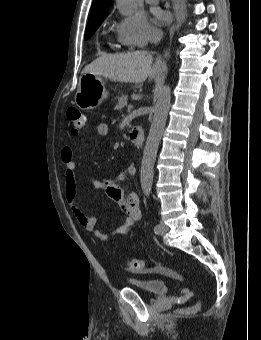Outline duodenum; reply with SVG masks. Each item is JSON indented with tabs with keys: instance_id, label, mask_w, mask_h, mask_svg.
<instances>
[{
	"instance_id": "410a0bca",
	"label": "duodenum",
	"mask_w": 261,
	"mask_h": 340,
	"mask_svg": "<svg viewBox=\"0 0 261 340\" xmlns=\"http://www.w3.org/2000/svg\"><path fill=\"white\" fill-rule=\"evenodd\" d=\"M129 140L136 147H141L144 139L143 129L141 127H136L130 130Z\"/></svg>"
}]
</instances>
